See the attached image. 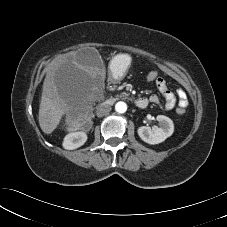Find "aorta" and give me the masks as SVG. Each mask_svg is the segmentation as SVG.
<instances>
[{"instance_id":"762f6f07","label":"aorta","mask_w":227,"mask_h":227,"mask_svg":"<svg viewBox=\"0 0 227 227\" xmlns=\"http://www.w3.org/2000/svg\"><path fill=\"white\" fill-rule=\"evenodd\" d=\"M115 110L118 113H125L127 111V104L123 101H119L115 105Z\"/></svg>"}]
</instances>
